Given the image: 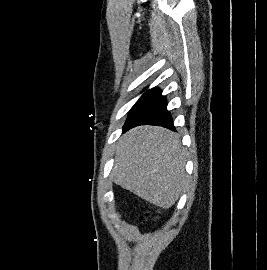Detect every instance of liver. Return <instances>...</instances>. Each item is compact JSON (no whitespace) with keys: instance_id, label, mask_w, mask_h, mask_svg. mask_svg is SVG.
I'll return each instance as SVG.
<instances>
[{"instance_id":"6515ba94","label":"liver","mask_w":267,"mask_h":270,"mask_svg":"<svg viewBox=\"0 0 267 270\" xmlns=\"http://www.w3.org/2000/svg\"><path fill=\"white\" fill-rule=\"evenodd\" d=\"M186 178L184 152L175 133L139 126L119 140L112 179L123 189L168 209L178 200Z\"/></svg>"}]
</instances>
